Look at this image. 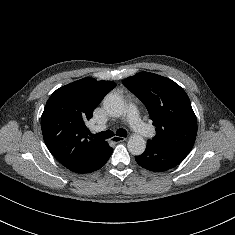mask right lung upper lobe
I'll return each instance as SVG.
<instances>
[{
    "label": "right lung upper lobe",
    "mask_w": 235,
    "mask_h": 235,
    "mask_svg": "<svg viewBox=\"0 0 235 235\" xmlns=\"http://www.w3.org/2000/svg\"><path fill=\"white\" fill-rule=\"evenodd\" d=\"M116 84L83 78L67 84L48 99L41 116L44 142L52 155L76 172L105 141L88 137L86 122Z\"/></svg>",
    "instance_id": "obj_1"
}]
</instances>
